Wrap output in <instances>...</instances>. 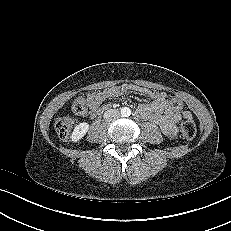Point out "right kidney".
<instances>
[{
    "label": "right kidney",
    "mask_w": 231,
    "mask_h": 231,
    "mask_svg": "<svg viewBox=\"0 0 231 231\" xmlns=\"http://www.w3.org/2000/svg\"><path fill=\"white\" fill-rule=\"evenodd\" d=\"M89 130V124L86 122L79 123L75 126L70 138L72 142H78L81 140Z\"/></svg>",
    "instance_id": "1"
}]
</instances>
